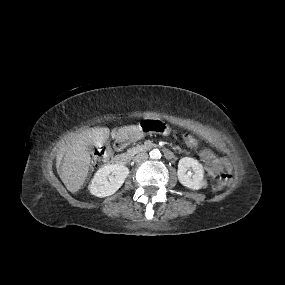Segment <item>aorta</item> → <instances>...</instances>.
Returning a JSON list of instances; mask_svg holds the SVG:
<instances>
[{"label": "aorta", "mask_w": 285, "mask_h": 285, "mask_svg": "<svg viewBox=\"0 0 285 285\" xmlns=\"http://www.w3.org/2000/svg\"><path fill=\"white\" fill-rule=\"evenodd\" d=\"M150 157L152 159H160L161 158V152L159 149H153L150 151Z\"/></svg>", "instance_id": "obj_1"}]
</instances>
